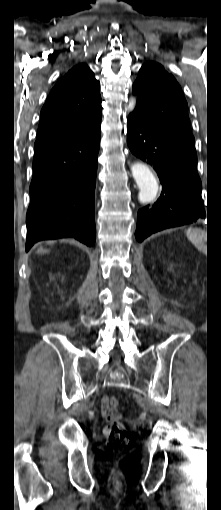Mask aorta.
Masks as SVG:
<instances>
[{
	"mask_svg": "<svg viewBox=\"0 0 221 510\" xmlns=\"http://www.w3.org/2000/svg\"><path fill=\"white\" fill-rule=\"evenodd\" d=\"M135 106V99H131L128 109L133 110ZM132 175L139 187L138 199L141 203H149L153 201L158 192L157 180L149 169L143 163H135L132 168Z\"/></svg>",
	"mask_w": 221,
	"mask_h": 510,
	"instance_id": "1",
	"label": "aorta"
}]
</instances>
